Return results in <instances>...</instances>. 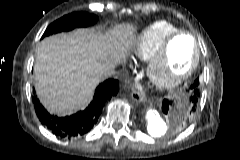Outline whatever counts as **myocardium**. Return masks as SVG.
Returning a JSON list of instances; mask_svg holds the SVG:
<instances>
[{"label":"myocardium","mask_w":240,"mask_h":160,"mask_svg":"<svg viewBox=\"0 0 240 160\" xmlns=\"http://www.w3.org/2000/svg\"><path fill=\"white\" fill-rule=\"evenodd\" d=\"M183 36L189 37L191 39V41L193 43V47H194V55H193V58L189 64V66L185 70H183L179 73H174V74L166 75L163 77L155 76L154 71L165 60L171 43L175 39H177L179 37H183ZM200 57H201V47H200V44H199L197 38L190 32L177 31V32L171 34L170 36H168L163 41V43L161 44V46L159 47L157 52L148 61H146L145 74H146L148 80L156 87L163 88V89L171 88V87H174V86L180 84L181 82L185 81L187 78H189L194 73V71L196 70V68L199 64Z\"/></svg>","instance_id":"f54148a6"}]
</instances>
